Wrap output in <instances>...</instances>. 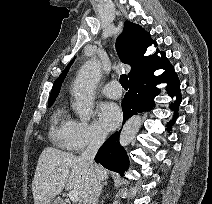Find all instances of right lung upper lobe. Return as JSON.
I'll return each mask as SVG.
<instances>
[{"label":"right lung upper lobe","instance_id":"1","mask_svg":"<svg viewBox=\"0 0 212 204\" xmlns=\"http://www.w3.org/2000/svg\"><path fill=\"white\" fill-rule=\"evenodd\" d=\"M152 43L157 45V43L151 39L150 34L141 26L129 21L125 22L124 30L117 38L116 47L121 61L125 64H129L132 67L130 73L128 74L129 82L138 79L146 72L163 68L169 64L164 52H161L162 58H159L157 54L144 56L147 47ZM71 63L56 79L48 102H54L58 96L61 84L69 70Z\"/></svg>","mask_w":212,"mask_h":204}]
</instances>
